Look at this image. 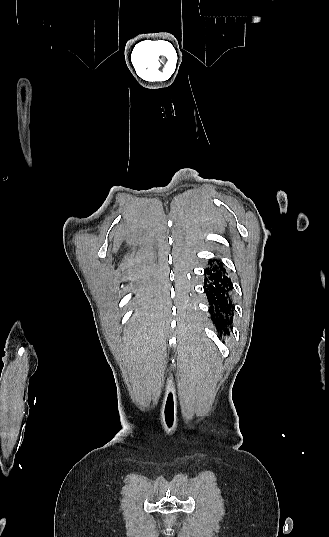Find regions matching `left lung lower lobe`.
<instances>
[{
  "label": "left lung lower lobe",
  "instance_id": "1",
  "mask_svg": "<svg viewBox=\"0 0 329 537\" xmlns=\"http://www.w3.org/2000/svg\"><path fill=\"white\" fill-rule=\"evenodd\" d=\"M208 264L204 288L210 304L211 318L221 334L229 335V323L233 319V284L220 262L210 261Z\"/></svg>",
  "mask_w": 329,
  "mask_h": 537
}]
</instances>
